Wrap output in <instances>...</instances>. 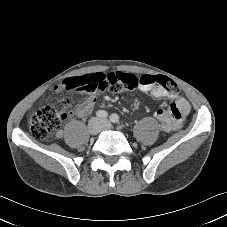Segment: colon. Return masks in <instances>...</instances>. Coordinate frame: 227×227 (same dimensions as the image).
<instances>
[{
	"instance_id": "colon-1",
	"label": "colon",
	"mask_w": 227,
	"mask_h": 227,
	"mask_svg": "<svg viewBox=\"0 0 227 227\" xmlns=\"http://www.w3.org/2000/svg\"><path fill=\"white\" fill-rule=\"evenodd\" d=\"M110 89L108 91L119 93L125 90H133L140 85H160L168 92H178L176 83L162 75H143L137 77L133 74L115 72L109 73ZM94 93V92H93ZM77 94H80L77 91ZM72 115L70 100H62L57 107H43L30 117V130L34 138L45 139L51 133L58 130L61 124Z\"/></svg>"
}]
</instances>
